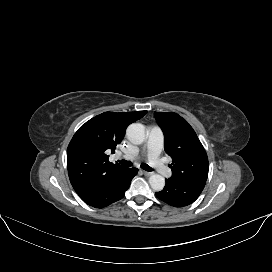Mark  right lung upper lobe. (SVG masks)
Returning a JSON list of instances; mask_svg holds the SVG:
<instances>
[{"instance_id":"right-lung-upper-lobe-1","label":"right lung upper lobe","mask_w":272,"mask_h":272,"mask_svg":"<svg viewBox=\"0 0 272 272\" xmlns=\"http://www.w3.org/2000/svg\"><path fill=\"white\" fill-rule=\"evenodd\" d=\"M147 111L105 112L87 121L74 134L67 148V168L76 193L95 187L112 173L122 169L108 161L106 150H114L125 135L128 125Z\"/></svg>"}]
</instances>
